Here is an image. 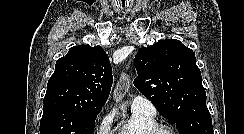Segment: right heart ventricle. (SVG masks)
<instances>
[{
    "mask_svg": "<svg viewBox=\"0 0 244 134\" xmlns=\"http://www.w3.org/2000/svg\"><path fill=\"white\" fill-rule=\"evenodd\" d=\"M155 124L154 115L132 111L129 121L117 127L115 134H145Z\"/></svg>",
    "mask_w": 244,
    "mask_h": 134,
    "instance_id": "e07e8e85",
    "label": "right heart ventricle"
}]
</instances>
